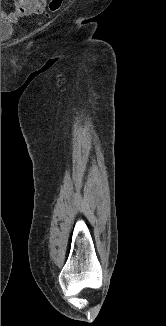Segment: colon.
<instances>
[{
	"label": "colon",
	"instance_id": "1",
	"mask_svg": "<svg viewBox=\"0 0 166 326\" xmlns=\"http://www.w3.org/2000/svg\"><path fill=\"white\" fill-rule=\"evenodd\" d=\"M62 3L63 0H50L46 16H50L51 14L57 12L61 8Z\"/></svg>",
	"mask_w": 166,
	"mask_h": 326
}]
</instances>
